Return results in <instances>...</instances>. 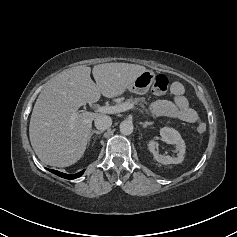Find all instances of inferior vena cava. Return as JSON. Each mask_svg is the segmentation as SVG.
I'll use <instances>...</instances> for the list:
<instances>
[{"instance_id":"inferior-vena-cava-1","label":"inferior vena cava","mask_w":237,"mask_h":237,"mask_svg":"<svg viewBox=\"0 0 237 237\" xmlns=\"http://www.w3.org/2000/svg\"><path fill=\"white\" fill-rule=\"evenodd\" d=\"M95 126L99 130H106L112 125V119L108 115H99L95 119Z\"/></svg>"}]
</instances>
